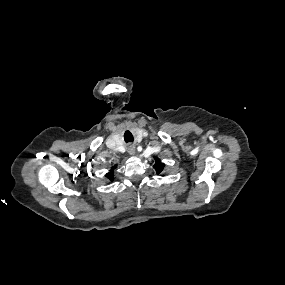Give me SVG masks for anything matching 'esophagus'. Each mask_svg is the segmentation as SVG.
Instances as JSON below:
<instances>
[{
	"instance_id": "34e87169",
	"label": "esophagus",
	"mask_w": 285,
	"mask_h": 285,
	"mask_svg": "<svg viewBox=\"0 0 285 285\" xmlns=\"http://www.w3.org/2000/svg\"><path fill=\"white\" fill-rule=\"evenodd\" d=\"M127 149H128V153L130 155H134L135 154V146L133 144H130Z\"/></svg>"
}]
</instances>
